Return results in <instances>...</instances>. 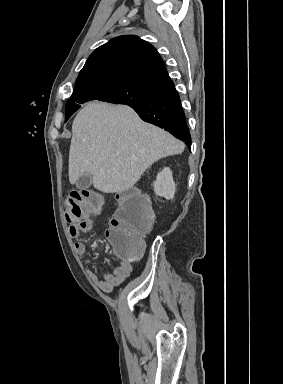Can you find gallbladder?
I'll use <instances>...</instances> for the list:
<instances>
[{
	"instance_id": "gallbladder-1",
	"label": "gallbladder",
	"mask_w": 283,
	"mask_h": 384,
	"mask_svg": "<svg viewBox=\"0 0 283 384\" xmlns=\"http://www.w3.org/2000/svg\"><path fill=\"white\" fill-rule=\"evenodd\" d=\"M77 188L79 186H86L87 188H90L91 186V176H88V174H84V176H81L79 180L76 182Z\"/></svg>"
}]
</instances>
